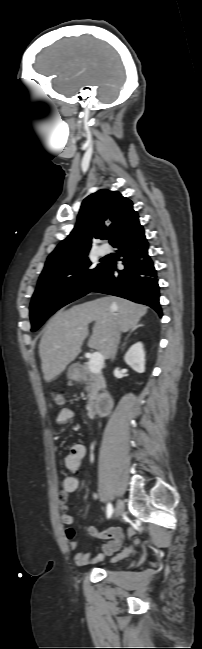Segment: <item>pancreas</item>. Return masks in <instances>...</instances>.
<instances>
[{
  "label": "pancreas",
  "mask_w": 202,
  "mask_h": 649,
  "mask_svg": "<svg viewBox=\"0 0 202 649\" xmlns=\"http://www.w3.org/2000/svg\"><path fill=\"white\" fill-rule=\"evenodd\" d=\"M78 381L87 384L88 404L87 410L92 411L95 401L99 398V391L105 388V380L101 372L92 373L89 370V364L79 365Z\"/></svg>",
  "instance_id": "obj_1"
}]
</instances>
